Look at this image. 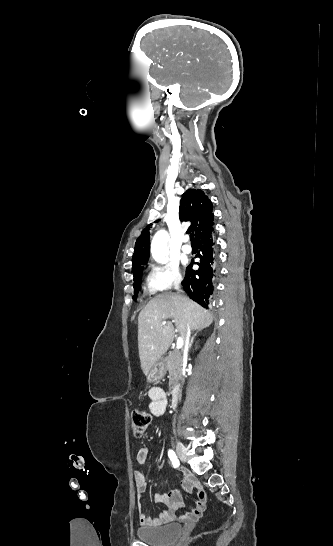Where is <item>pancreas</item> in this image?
Instances as JSON below:
<instances>
[{
	"mask_svg": "<svg viewBox=\"0 0 333 546\" xmlns=\"http://www.w3.org/2000/svg\"><path fill=\"white\" fill-rule=\"evenodd\" d=\"M182 356L178 351H170L165 358V368L169 371V386L173 390L182 376Z\"/></svg>",
	"mask_w": 333,
	"mask_h": 546,
	"instance_id": "1",
	"label": "pancreas"
}]
</instances>
